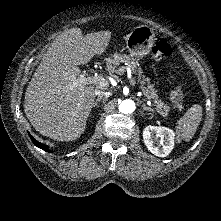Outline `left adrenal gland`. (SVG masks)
Masks as SVG:
<instances>
[{
	"mask_svg": "<svg viewBox=\"0 0 221 221\" xmlns=\"http://www.w3.org/2000/svg\"><path fill=\"white\" fill-rule=\"evenodd\" d=\"M142 107H143V109H144V110H149V111H153V109H152V108H150V107H147V106H145L144 104L142 105Z\"/></svg>",
	"mask_w": 221,
	"mask_h": 221,
	"instance_id": "1",
	"label": "left adrenal gland"
}]
</instances>
